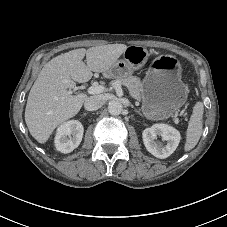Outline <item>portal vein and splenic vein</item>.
Listing matches in <instances>:
<instances>
[{
    "label": "portal vein and splenic vein",
    "instance_id": "obj_1",
    "mask_svg": "<svg viewBox=\"0 0 227 227\" xmlns=\"http://www.w3.org/2000/svg\"><path fill=\"white\" fill-rule=\"evenodd\" d=\"M105 91V87L102 85H92L88 88V93L89 94H99ZM173 122L178 125L179 124V119L175 116L173 118Z\"/></svg>",
    "mask_w": 227,
    "mask_h": 227
}]
</instances>
